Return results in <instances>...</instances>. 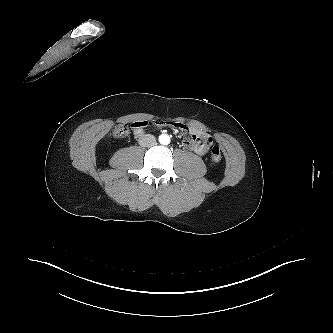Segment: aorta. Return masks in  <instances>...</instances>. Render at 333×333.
Returning <instances> with one entry per match:
<instances>
[{"mask_svg":"<svg viewBox=\"0 0 333 333\" xmlns=\"http://www.w3.org/2000/svg\"><path fill=\"white\" fill-rule=\"evenodd\" d=\"M159 142L161 144L167 145L170 143V137L167 134H162L159 136Z\"/></svg>","mask_w":333,"mask_h":333,"instance_id":"obj_1","label":"aorta"}]
</instances>
